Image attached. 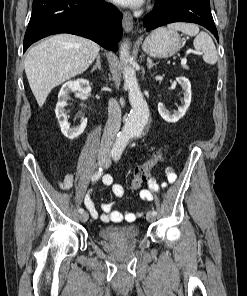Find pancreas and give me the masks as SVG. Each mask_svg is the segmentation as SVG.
<instances>
[{
	"label": "pancreas",
	"mask_w": 247,
	"mask_h": 296,
	"mask_svg": "<svg viewBox=\"0 0 247 296\" xmlns=\"http://www.w3.org/2000/svg\"><path fill=\"white\" fill-rule=\"evenodd\" d=\"M183 68H184V69H186V70H188V69H189V68H188V66H183Z\"/></svg>",
	"instance_id": "pancreas-1"
}]
</instances>
